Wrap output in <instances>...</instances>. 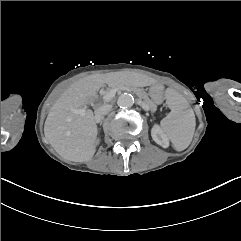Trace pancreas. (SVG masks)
Masks as SVG:
<instances>
[{
	"instance_id": "1",
	"label": "pancreas",
	"mask_w": 241,
	"mask_h": 241,
	"mask_svg": "<svg viewBox=\"0 0 241 241\" xmlns=\"http://www.w3.org/2000/svg\"><path fill=\"white\" fill-rule=\"evenodd\" d=\"M120 87L125 89L127 92H134L139 97H141L143 99V101L148 104V108L150 110H153L155 108V105L153 104V100L151 98H149L147 96V94L145 92H143L142 90H139L138 88H134V87H128L127 85L121 86L120 84H118L116 86H113V88H117V89L120 88ZM109 91H110V89H107L106 93L109 92Z\"/></svg>"
}]
</instances>
